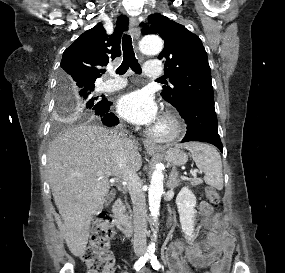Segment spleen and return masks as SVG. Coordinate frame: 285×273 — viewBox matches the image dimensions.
<instances>
[{
    "mask_svg": "<svg viewBox=\"0 0 285 273\" xmlns=\"http://www.w3.org/2000/svg\"><path fill=\"white\" fill-rule=\"evenodd\" d=\"M191 152L198 169L205 174L206 184L221 190L223 188V174L221 157L212 146L199 142L179 145Z\"/></svg>",
    "mask_w": 285,
    "mask_h": 273,
    "instance_id": "obj_1",
    "label": "spleen"
}]
</instances>
